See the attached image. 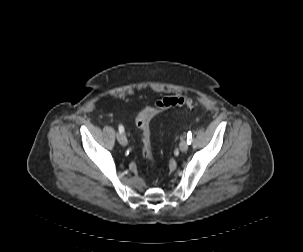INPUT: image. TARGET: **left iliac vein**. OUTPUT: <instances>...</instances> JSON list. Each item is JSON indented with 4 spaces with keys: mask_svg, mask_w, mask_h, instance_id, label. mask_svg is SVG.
Returning a JSON list of instances; mask_svg holds the SVG:
<instances>
[{
    "mask_svg": "<svg viewBox=\"0 0 303 252\" xmlns=\"http://www.w3.org/2000/svg\"><path fill=\"white\" fill-rule=\"evenodd\" d=\"M189 144L187 141H182L179 145V148L182 152H185L188 150Z\"/></svg>",
    "mask_w": 303,
    "mask_h": 252,
    "instance_id": "obj_1",
    "label": "left iliac vein"
}]
</instances>
